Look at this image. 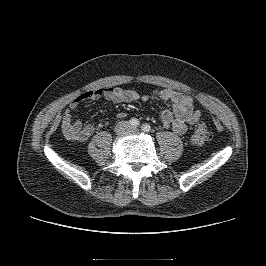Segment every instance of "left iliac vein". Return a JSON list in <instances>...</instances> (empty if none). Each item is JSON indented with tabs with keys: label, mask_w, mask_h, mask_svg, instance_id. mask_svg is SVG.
Returning <instances> with one entry per match:
<instances>
[{
	"label": "left iliac vein",
	"mask_w": 266,
	"mask_h": 266,
	"mask_svg": "<svg viewBox=\"0 0 266 266\" xmlns=\"http://www.w3.org/2000/svg\"><path fill=\"white\" fill-rule=\"evenodd\" d=\"M137 130L136 129H133V128H129L128 129V133H135Z\"/></svg>",
	"instance_id": "1"
}]
</instances>
